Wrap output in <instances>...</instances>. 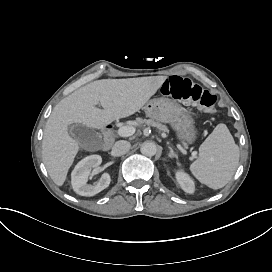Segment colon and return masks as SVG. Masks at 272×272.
Returning <instances> with one entry per match:
<instances>
[{
  "label": "colon",
  "instance_id": "colon-1",
  "mask_svg": "<svg viewBox=\"0 0 272 272\" xmlns=\"http://www.w3.org/2000/svg\"><path fill=\"white\" fill-rule=\"evenodd\" d=\"M163 95L179 103L198 106L207 113L216 111V96L187 77L172 76L163 86Z\"/></svg>",
  "mask_w": 272,
  "mask_h": 272
}]
</instances>
